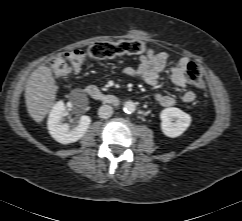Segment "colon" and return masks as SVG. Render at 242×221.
<instances>
[{"label": "colon", "instance_id": "colon-1", "mask_svg": "<svg viewBox=\"0 0 242 221\" xmlns=\"http://www.w3.org/2000/svg\"><path fill=\"white\" fill-rule=\"evenodd\" d=\"M147 51L146 44L139 39L119 42H97L87 50H73L55 58L50 71L55 77H66L80 71L87 60H106L127 54H142ZM188 83L196 89H203L205 82L199 66L190 62L186 68Z\"/></svg>", "mask_w": 242, "mask_h": 221}]
</instances>
